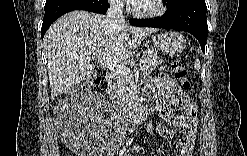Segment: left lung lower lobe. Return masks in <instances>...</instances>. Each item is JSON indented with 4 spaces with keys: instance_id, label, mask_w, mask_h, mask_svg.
<instances>
[{
    "instance_id": "1",
    "label": "left lung lower lobe",
    "mask_w": 247,
    "mask_h": 156,
    "mask_svg": "<svg viewBox=\"0 0 247 156\" xmlns=\"http://www.w3.org/2000/svg\"><path fill=\"white\" fill-rule=\"evenodd\" d=\"M205 0H178L167 7L165 14L151 20L130 19V24L140 27H155L186 31L194 35L203 52L208 36Z\"/></svg>"
}]
</instances>
